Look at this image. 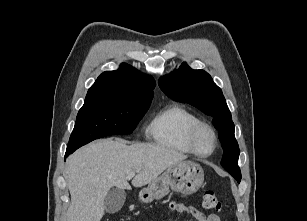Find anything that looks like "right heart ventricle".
<instances>
[{
    "mask_svg": "<svg viewBox=\"0 0 307 221\" xmlns=\"http://www.w3.org/2000/svg\"><path fill=\"white\" fill-rule=\"evenodd\" d=\"M198 117L180 105H169L159 111L149 122L146 133L158 145L175 152L191 154L186 143L190 127Z\"/></svg>",
    "mask_w": 307,
    "mask_h": 221,
    "instance_id": "e07e8e85",
    "label": "right heart ventricle"
}]
</instances>
